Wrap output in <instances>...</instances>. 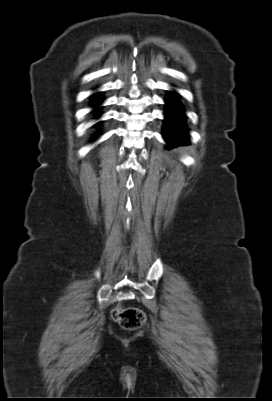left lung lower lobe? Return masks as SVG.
<instances>
[{"mask_svg":"<svg viewBox=\"0 0 272 401\" xmlns=\"http://www.w3.org/2000/svg\"><path fill=\"white\" fill-rule=\"evenodd\" d=\"M183 116V107L178 101L177 94L170 92V95L166 98L164 120V138L168 147L189 144L188 130Z\"/></svg>","mask_w":272,"mask_h":401,"instance_id":"0a47b994","label":"left lung lower lobe"}]
</instances>
